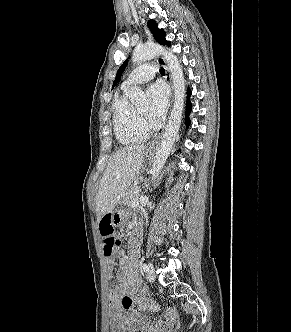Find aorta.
Instances as JSON below:
<instances>
[{"instance_id":"aorta-1","label":"aorta","mask_w":291,"mask_h":332,"mask_svg":"<svg viewBox=\"0 0 291 332\" xmlns=\"http://www.w3.org/2000/svg\"><path fill=\"white\" fill-rule=\"evenodd\" d=\"M162 55L167 61L174 84V105L171 111L162 140L157 148L151 169V179L155 180L170 153L178 135L184 107L185 79L182 67L176 55L157 44H144L134 49L133 62H142ZM132 103L146 102L147 97L139 87H133L130 93Z\"/></svg>"}]
</instances>
